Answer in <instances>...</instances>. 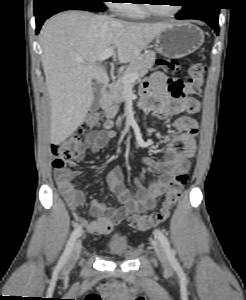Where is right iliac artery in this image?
I'll use <instances>...</instances> for the list:
<instances>
[{
  "label": "right iliac artery",
  "mask_w": 246,
  "mask_h": 300,
  "mask_svg": "<svg viewBox=\"0 0 246 300\" xmlns=\"http://www.w3.org/2000/svg\"><path fill=\"white\" fill-rule=\"evenodd\" d=\"M81 232H82V227L81 226L76 227L74 229V231L72 232V234H71V236L68 240V243L66 245V248H65V250H64V252H63V254H62V256H61V258L58 262V267H62L66 263V261L68 260L70 254H71V251L74 247V244L76 242V239L81 234Z\"/></svg>",
  "instance_id": "1"
}]
</instances>
